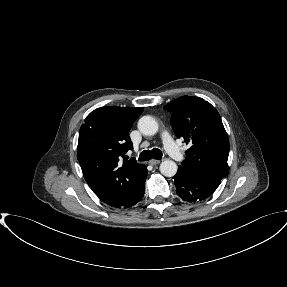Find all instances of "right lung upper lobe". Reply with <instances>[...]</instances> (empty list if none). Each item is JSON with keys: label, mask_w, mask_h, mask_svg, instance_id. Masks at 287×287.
<instances>
[{"label": "right lung upper lobe", "mask_w": 287, "mask_h": 287, "mask_svg": "<svg viewBox=\"0 0 287 287\" xmlns=\"http://www.w3.org/2000/svg\"><path fill=\"white\" fill-rule=\"evenodd\" d=\"M142 107H101L92 111L79 132L77 158L93 192L107 205L125 202L143 176V164L123 160L132 150L129 131Z\"/></svg>", "instance_id": "right-lung-upper-lobe-1"}]
</instances>
